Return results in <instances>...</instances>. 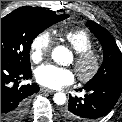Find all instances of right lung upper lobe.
Wrapping results in <instances>:
<instances>
[{
	"label": "right lung upper lobe",
	"instance_id": "cb5924a9",
	"mask_svg": "<svg viewBox=\"0 0 122 122\" xmlns=\"http://www.w3.org/2000/svg\"><path fill=\"white\" fill-rule=\"evenodd\" d=\"M27 9H30L36 13L42 14V15H52L55 14V12L51 11V10H45L43 8L40 7H29V6H25Z\"/></svg>",
	"mask_w": 122,
	"mask_h": 122
}]
</instances>
